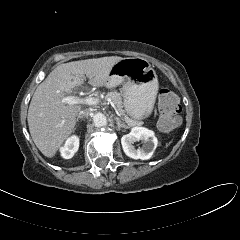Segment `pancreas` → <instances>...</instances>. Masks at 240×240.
<instances>
[{
    "instance_id": "pancreas-1",
    "label": "pancreas",
    "mask_w": 240,
    "mask_h": 240,
    "mask_svg": "<svg viewBox=\"0 0 240 240\" xmlns=\"http://www.w3.org/2000/svg\"><path fill=\"white\" fill-rule=\"evenodd\" d=\"M107 100H111L116 105L119 112L122 115H124V118L126 119L129 126H135V125L139 124L137 121H134V120L130 119L128 116H126L124 114L122 96L119 92H117V91L108 92L105 95V101H107Z\"/></svg>"
}]
</instances>
